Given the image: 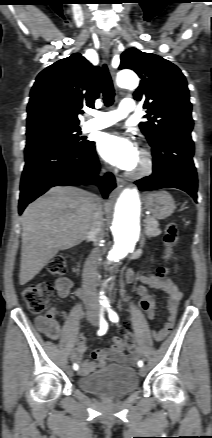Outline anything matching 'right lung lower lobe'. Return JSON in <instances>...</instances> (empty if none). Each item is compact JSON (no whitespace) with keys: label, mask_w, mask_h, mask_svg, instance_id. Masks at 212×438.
Here are the masks:
<instances>
[{"label":"right lung lower lobe","mask_w":212,"mask_h":438,"mask_svg":"<svg viewBox=\"0 0 212 438\" xmlns=\"http://www.w3.org/2000/svg\"><path fill=\"white\" fill-rule=\"evenodd\" d=\"M100 164L94 142L83 146L52 140L29 141L25 147V166L20 184L19 213L50 187L98 184L104 198L116 187L115 178L106 173L100 179Z\"/></svg>","instance_id":"right-lung-lower-lobe-1"}]
</instances>
